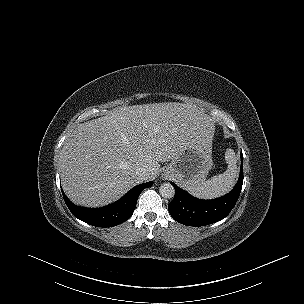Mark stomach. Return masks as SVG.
Here are the masks:
<instances>
[{"instance_id":"1","label":"stomach","mask_w":304,"mask_h":304,"mask_svg":"<svg viewBox=\"0 0 304 304\" xmlns=\"http://www.w3.org/2000/svg\"><path fill=\"white\" fill-rule=\"evenodd\" d=\"M212 167L211 147L196 140L169 163L164 176L174 179L185 189H190L202 184Z\"/></svg>"}]
</instances>
